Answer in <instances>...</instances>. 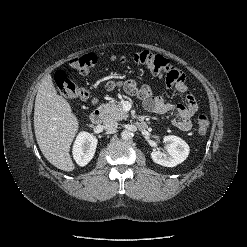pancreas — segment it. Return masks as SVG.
Listing matches in <instances>:
<instances>
[{
    "label": "pancreas",
    "mask_w": 247,
    "mask_h": 247,
    "mask_svg": "<svg viewBox=\"0 0 247 247\" xmlns=\"http://www.w3.org/2000/svg\"><path fill=\"white\" fill-rule=\"evenodd\" d=\"M99 109L105 114L107 118L115 120H123L128 117L127 112L123 109L120 102L111 101L106 104H101Z\"/></svg>",
    "instance_id": "pancreas-1"
}]
</instances>
